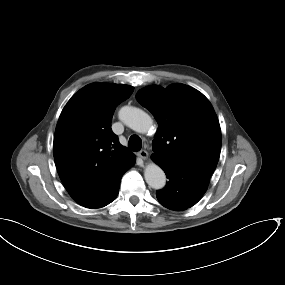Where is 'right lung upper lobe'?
<instances>
[{
    "label": "right lung upper lobe",
    "instance_id": "cb5924a9",
    "mask_svg": "<svg viewBox=\"0 0 285 285\" xmlns=\"http://www.w3.org/2000/svg\"><path fill=\"white\" fill-rule=\"evenodd\" d=\"M133 90L128 85L90 84L79 90L61 112L54 137V160L66 190L84 207L103 201L135 160L111 129L115 108Z\"/></svg>",
    "mask_w": 285,
    "mask_h": 285
}]
</instances>
